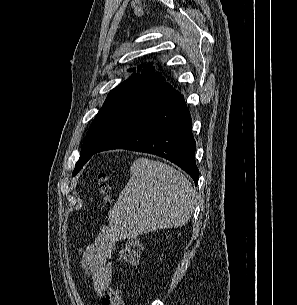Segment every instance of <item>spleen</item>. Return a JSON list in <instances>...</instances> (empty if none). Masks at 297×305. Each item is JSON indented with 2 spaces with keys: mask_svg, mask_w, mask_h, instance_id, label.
Listing matches in <instances>:
<instances>
[{
  "mask_svg": "<svg viewBox=\"0 0 297 305\" xmlns=\"http://www.w3.org/2000/svg\"><path fill=\"white\" fill-rule=\"evenodd\" d=\"M130 172L129 181L108 214L110 231L117 239L175 228L189 221L195 191L183 174L148 158L134 161Z\"/></svg>",
  "mask_w": 297,
  "mask_h": 305,
  "instance_id": "obj_1",
  "label": "spleen"
}]
</instances>
